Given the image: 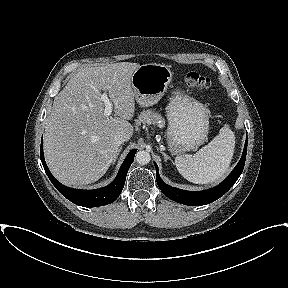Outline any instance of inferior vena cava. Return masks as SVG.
<instances>
[{
  "instance_id": "inferior-vena-cava-1",
  "label": "inferior vena cava",
  "mask_w": 288,
  "mask_h": 288,
  "mask_svg": "<svg viewBox=\"0 0 288 288\" xmlns=\"http://www.w3.org/2000/svg\"><path fill=\"white\" fill-rule=\"evenodd\" d=\"M114 140L118 143V144H122L125 141V137L118 134L114 137Z\"/></svg>"
}]
</instances>
